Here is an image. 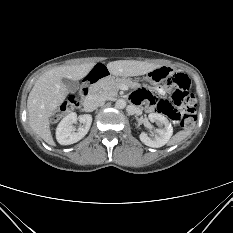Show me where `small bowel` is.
<instances>
[{"mask_svg": "<svg viewBox=\"0 0 233 233\" xmlns=\"http://www.w3.org/2000/svg\"><path fill=\"white\" fill-rule=\"evenodd\" d=\"M173 76V75H172ZM156 92L158 94H164L165 93V88L164 87H157L156 88ZM152 99V96L150 94V92L146 91V90H138L136 91L133 95H132V100L134 103L138 104L141 101H148V108L150 110H155L153 108V106L150 103V100Z\"/></svg>", "mask_w": 233, "mask_h": 233, "instance_id": "small-bowel-1", "label": "small bowel"}]
</instances>
